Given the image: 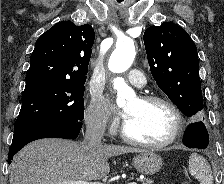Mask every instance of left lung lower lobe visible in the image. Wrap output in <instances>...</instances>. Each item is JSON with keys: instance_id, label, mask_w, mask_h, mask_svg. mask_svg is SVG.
<instances>
[{"instance_id": "obj_1", "label": "left lung lower lobe", "mask_w": 224, "mask_h": 184, "mask_svg": "<svg viewBox=\"0 0 224 184\" xmlns=\"http://www.w3.org/2000/svg\"><path fill=\"white\" fill-rule=\"evenodd\" d=\"M209 142L206 127L202 121L191 124L183 137V144L190 148L204 149Z\"/></svg>"}]
</instances>
